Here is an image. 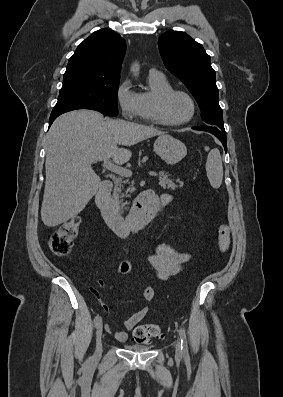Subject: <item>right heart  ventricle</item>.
Wrapping results in <instances>:
<instances>
[{
    "mask_svg": "<svg viewBox=\"0 0 283 397\" xmlns=\"http://www.w3.org/2000/svg\"><path fill=\"white\" fill-rule=\"evenodd\" d=\"M173 89L169 80L163 75H149L148 89L139 94L142 110V118L148 122L155 123L154 105L156 99L165 91Z\"/></svg>",
    "mask_w": 283,
    "mask_h": 397,
    "instance_id": "obj_1",
    "label": "right heart ventricle"
}]
</instances>
